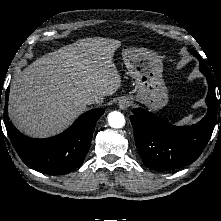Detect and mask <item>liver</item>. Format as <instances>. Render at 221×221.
<instances>
[{
	"instance_id": "obj_1",
	"label": "liver",
	"mask_w": 221,
	"mask_h": 221,
	"mask_svg": "<svg viewBox=\"0 0 221 221\" xmlns=\"http://www.w3.org/2000/svg\"><path fill=\"white\" fill-rule=\"evenodd\" d=\"M120 46L114 39L85 38L35 60L12 81V122L30 137L63 131L85 111L86 98L101 103L120 88L121 77L112 60Z\"/></svg>"
}]
</instances>
